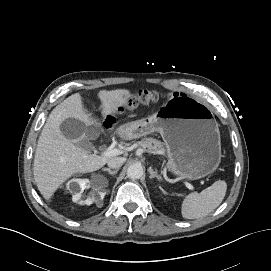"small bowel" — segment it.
Here are the masks:
<instances>
[{"label": "small bowel", "mask_w": 271, "mask_h": 271, "mask_svg": "<svg viewBox=\"0 0 271 271\" xmlns=\"http://www.w3.org/2000/svg\"><path fill=\"white\" fill-rule=\"evenodd\" d=\"M63 130L69 135V136H73L76 135V129L74 126H70V125H63Z\"/></svg>", "instance_id": "c3829d8e"}]
</instances>
